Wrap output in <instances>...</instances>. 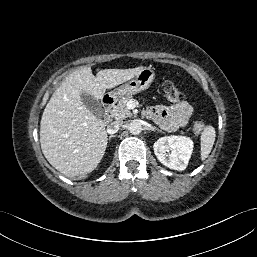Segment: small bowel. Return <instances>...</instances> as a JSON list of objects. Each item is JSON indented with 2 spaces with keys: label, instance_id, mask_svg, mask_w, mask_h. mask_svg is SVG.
<instances>
[{
  "label": "small bowel",
  "instance_id": "small-bowel-1",
  "mask_svg": "<svg viewBox=\"0 0 257 257\" xmlns=\"http://www.w3.org/2000/svg\"><path fill=\"white\" fill-rule=\"evenodd\" d=\"M147 113L163 129L172 132L188 123L192 115V106L188 101H180L171 106L150 107Z\"/></svg>",
  "mask_w": 257,
  "mask_h": 257
}]
</instances>
